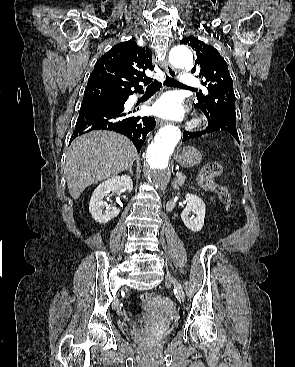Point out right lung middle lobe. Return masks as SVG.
Returning a JSON list of instances; mask_svg holds the SVG:
<instances>
[{
  "label": "right lung middle lobe",
  "instance_id": "obj_1",
  "mask_svg": "<svg viewBox=\"0 0 295 367\" xmlns=\"http://www.w3.org/2000/svg\"><path fill=\"white\" fill-rule=\"evenodd\" d=\"M124 96L117 95L101 88H90L84 92L83 101L87 100H122Z\"/></svg>",
  "mask_w": 295,
  "mask_h": 367
}]
</instances>
